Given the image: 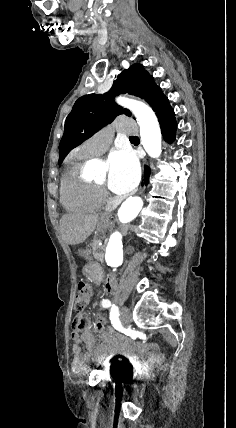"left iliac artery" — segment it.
Returning <instances> with one entry per match:
<instances>
[{"label":"left iliac artery","instance_id":"44dca946","mask_svg":"<svg viewBox=\"0 0 236 428\" xmlns=\"http://www.w3.org/2000/svg\"><path fill=\"white\" fill-rule=\"evenodd\" d=\"M102 306L107 308L111 306V302L109 300H103L102 301ZM114 306V304L112 305V307Z\"/></svg>","mask_w":236,"mask_h":428}]
</instances>
